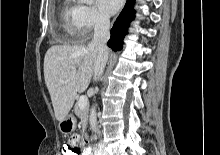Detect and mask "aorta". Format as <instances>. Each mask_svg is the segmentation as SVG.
Masks as SVG:
<instances>
[{
    "mask_svg": "<svg viewBox=\"0 0 220 155\" xmlns=\"http://www.w3.org/2000/svg\"><path fill=\"white\" fill-rule=\"evenodd\" d=\"M82 2L84 3H87V4H91L93 3L94 0H81ZM96 109H95V106H93L91 108V111H90V127L95 130L96 129Z\"/></svg>",
    "mask_w": 220,
    "mask_h": 155,
    "instance_id": "obj_1",
    "label": "aorta"
}]
</instances>
